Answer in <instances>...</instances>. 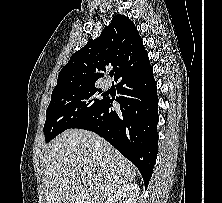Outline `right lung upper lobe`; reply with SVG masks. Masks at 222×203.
Returning <instances> with one entry per match:
<instances>
[{
    "label": "right lung upper lobe",
    "mask_w": 222,
    "mask_h": 203,
    "mask_svg": "<svg viewBox=\"0 0 222 203\" xmlns=\"http://www.w3.org/2000/svg\"><path fill=\"white\" fill-rule=\"evenodd\" d=\"M148 61V54L137 28L128 17L117 14L98 39L75 52L58 75L53 92L94 85L103 76L99 71L113 66L115 80L123 73Z\"/></svg>",
    "instance_id": "obj_1"
}]
</instances>
